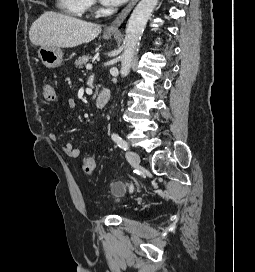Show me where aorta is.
<instances>
[{
	"instance_id": "1",
	"label": "aorta",
	"mask_w": 255,
	"mask_h": 272,
	"mask_svg": "<svg viewBox=\"0 0 255 272\" xmlns=\"http://www.w3.org/2000/svg\"><path fill=\"white\" fill-rule=\"evenodd\" d=\"M157 3L158 0H140L128 20L124 38V51L120 57L122 77L127 76L130 72L136 47Z\"/></svg>"
}]
</instances>
